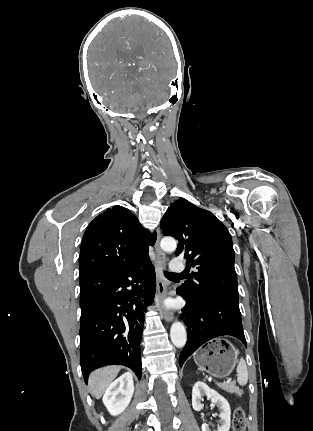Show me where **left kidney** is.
<instances>
[{
  "mask_svg": "<svg viewBox=\"0 0 313 431\" xmlns=\"http://www.w3.org/2000/svg\"><path fill=\"white\" fill-rule=\"evenodd\" d=\"M203 396L211 399L212 403L219 407L221 426L218 428V431H229L231 409L228 401L218 392L210 389L205 383L196 382L192 389V407L195 411H200L203 408V404L201 403ZM202 431H211L208 424H202Z\"/></svg>",
  "mask_w": 313,
  "mask_h": 431,
  "instance_id": "5707ae66",
  "label": "left kidney"
}]
</instances>
